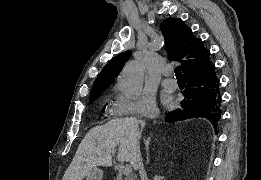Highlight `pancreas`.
<instances>
[{"label":"pancreas","instance_id":"pancreas-1","mask_svg":"<svg viewBox=\"0 0 261 180\" xmlns=\"http://www.w3.org/2000/svg\"><path fill=\"white\" fill-rule=\"evenodd\" d=\"M118 178H119V180H124V178H125V173H119V174H118Z\"/></svg>","mask_w":261,"mask_h":180}]
</instances>
